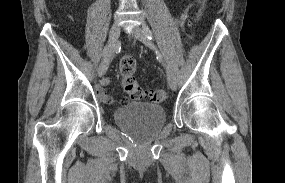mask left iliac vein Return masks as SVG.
Wrapping results in <instances>:
<instances>
[{
    "instance_id": "1",
    "label": "left iliac vein",
    "mask_w": 285,
    "mask_h": 183,
    "mask_svg": "<svg viewBox=\"0 0 285 183\" xmlns=\"http://www.w3.org/2000/svg\"><path fill=\"white\" fill-rule=\"evenodd\" d=\"M132 34L136 39L144 43L146 46H148L153 50H156V46L154 45V43L147 38L146 34L143 32V30L140 27H135L132 31ZM165 66H166L168 85L172 90H175L177 87L176 78L172 73L171 69L169 68V66L167 65Z\"/></svg>"
}]
</instances>
